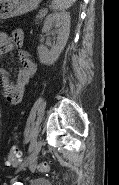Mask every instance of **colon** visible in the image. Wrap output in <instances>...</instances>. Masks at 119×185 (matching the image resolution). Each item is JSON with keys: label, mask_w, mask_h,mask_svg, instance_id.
Masks as SVG:
<instances>
[{"label": "colon", "mask_w": 119, "mask_h": 185, "mask_svg": "<svg viewBox=\"0 0 119 185\" xmlns=\"http://www.w3.org/2000/svg\"><path fill=\"white\" fill-rule=\"evenodd\" d=\"M21 162V152L17 146H12L5 156V163L9 167H16ZM32 169L36 171H46L48 169L46 164H34Z\"/></svg>", "instance_id": "colon-1"}]
</instances>
